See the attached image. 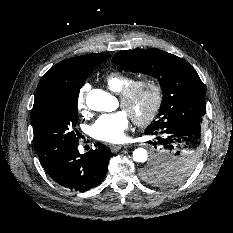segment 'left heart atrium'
I'll list each match as a JSON object with an SVG mask.
<instances>
[{
  "mask_svg": "<svg viewBox=\"0 0 233 233\" xmlns=\"http://www.w3.org/2000/svg\"><path fill=\"white\" fill-rule=\"evenodd\" d=\"M129 124V116L125 111L103 114L91 125L90 134L101 141L122 142L125 139Z\"/></svg>",
  "mask_w": 233,
  "mask_h": 233,
  "instance_id": "left-heart-atrium-1",
  "label": "left heart atrium"
}]
</instances>
